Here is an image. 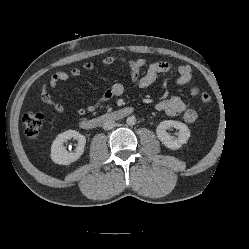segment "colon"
Instances as JSON below:
<instances>
[{
	"instance_id": "obj_1",
	"label": "colon",
	"mask_w": 249,
	"mask_h": 249,
	"mask_svg": "<svg viewBox=\"0 0 249 249\" xmlns=\"http://www.w3.org/2000/svg\"><path fill=\"white\" fill-rule=\"evenodd\" d=\"M200 98L207 103L211 100V94L209 91L204 90L200 93ZM43 121L44 114L40 111H28L24 114L22 124L25 135L30 139L36 138L42 129Z\"/></svg>"
}]
</instances>
